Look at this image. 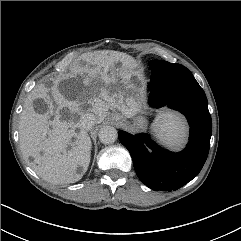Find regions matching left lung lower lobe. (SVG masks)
<instances>
[{
  "label": "left lung lower lobe",
  "mask_w": 241,
  "mask_h": 241,
  "mask_svg": "<svg viewBox=\"0 0 241 241\" xmlns=\"http://www.w3.org/2000/svg\"><path fill=\"white\" fill-rule=\"evenodd\" d=\"M166 77L152 70L149 103L153 107L168 106L184 114L190 125L187 147L172 153L153 143L147 134L133 136L118 132L120 142L132 156L138 178L155 191H174L187 184L201 171L209 152L212 121L208 102L198 83L171 92ZM145 145L152 149L148 153Z\"/></svg>",
  "instance_id": "left-lung-lower-lobe-1"
}]
</instances>
